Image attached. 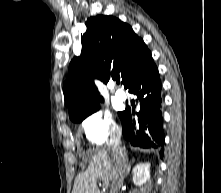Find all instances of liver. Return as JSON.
<instances>
[{
    "instance_id": "liver-1",
    "label": "liver",
    "mask_w": 221,
    "mask_h": 193,
    "mask_svg": "<svg viewBox=\"0 0 221 193\" xmlns=\"http://www.w3.org/2000/svg\"><path fill=\"white\" fill-rule=\"evenodd\" d=\"M127 160L126 148H120ZM117 153L112 149L95 150L85 172L79 173L74 181L72 193H97V179L101 178L108 185L113 178Z\"/></svg>"
}]
</instances>
